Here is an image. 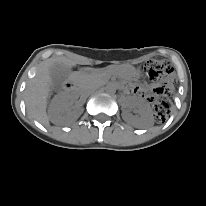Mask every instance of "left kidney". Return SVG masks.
<instances>
[{"label": "left kidney", "mask_w": 206, "mask_h": 206, "mask_svg": "<svg viewBox=\"0 0 206 206\" xmlns=\"http://www.w3.org/2000/svg\"><path fill=\"white\" fill-rule=\"evenodd\" d=\"M126 105L128 108H137L139 116H133L128 111L123 113L125 121L139 128H149L153 125V115L148 102L143 98L130 97Z\"/></svg>", "instance_id": "left-kidney-1"}]
</instances>
